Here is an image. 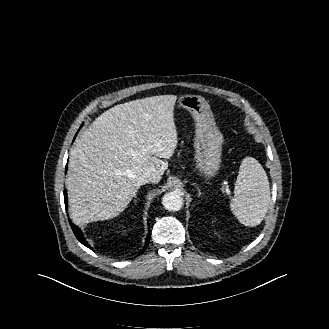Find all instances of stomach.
<instances>
[{"instance_id": "obj_1", "label": "stomach", "mask_w": 329, "mask_h": 329, "mask_svg": "<svg viewBox=\"0 0 329 329\" xmlns=\"http://www.w3.org/2000/svg\"><path fill=\"white\" fill-rule=\"evenodd\" d=\"M178 103L195 121V169L205 177H213L220 168L223 138L210 105L204 97L188 94L181 96Z\"/></svg>"}]
</instances>
